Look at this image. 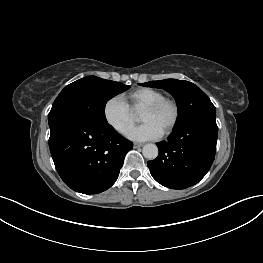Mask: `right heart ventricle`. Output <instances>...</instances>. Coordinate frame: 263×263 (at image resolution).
Listing matches in <instances>:
<instances>
[{
	"label": "right heart ventricle",
	"instance_id": "1",
	"mask_svg": "<svg viewBox=\"0 0 263 263\" xmlns=\"http://www.w3.org/2000/svg\"><path fill=\"white\" fill-rule=\"evenodd\" d=\"M162 98H164L162 92L148 87L138 88L127 95L129 106L132 110H139Z\"/></svg>",
	"mask_w": 263,
	"mask_h": 263
}]
</instances>
